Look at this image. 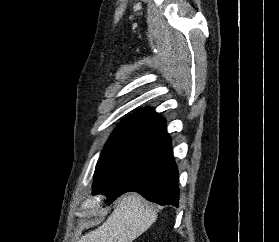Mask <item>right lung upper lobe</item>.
<instances>
[{"instance_id":"right-lung-upper-lobe-1","label":"right lung upper lobe","mask_w":279,"mask_h":242,"mask_svg":"<svg viewBox=\"0 0 279 242\" xmlns=\"http://www.w3.org/2000/svg\"><path fill=\"white\" fill-rule=\"evenodd\" d=\"M134 114H143V115H148V116H152V117L162 118V117L158 116V114L150 108L139 109Z\"/></svg>"}]
</instances>
